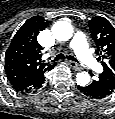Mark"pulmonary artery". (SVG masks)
<instances>
[{"label": "pulmonary artery", "mask_w": 115, "mask_h": 119, "mask_svg": "<svg viewBox=\"0 0 115 119\" xmlns=\"http://www.w3.org/2000/svg\"><path fill=\"white\" fill-rule=\"evenodd\" d=\"M69 47L74 50L77 58L86 67L95 71H99L101 69V65L97 62L89 50V46L83 32L78 31L74 34L72 40L69 43Z\"/></svg>", "instance_id": "obj_1"}]
</instances>
